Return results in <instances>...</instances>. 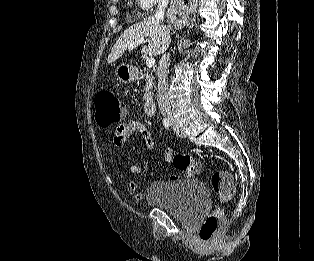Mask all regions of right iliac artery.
Segmentation results:
<instances>
[{
  "label": "right iliac artery",
  "mask_w": 314,
  "mask_h": 261,
  "mask_svg": "<svg viewBox=\"0 0 314 261\" xmlns=\"http://www.w3.org/2000/svg\"><path fill=\"white\" fill-rule=\"evenodd\" d=\"M163 125H164V127H165L166 129H168L169 126H170L169 119H164V120H163Z\"/></svg>",
  "instance_id": "right-iliac-artery-1"
}]
</instances>
